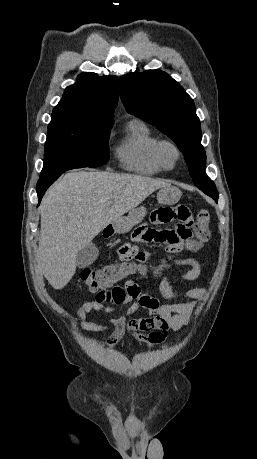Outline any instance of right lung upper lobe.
I'll list each match as a JSON object with an SVG mask.
<instances>
[{
	"mask_svg": "<svg viewBox=\"0 0 257 459\" xmlns=\"http://www.w3.org/2000/svg\"><path fill=\"white\" fill-rule=\"evenodd\" d=\"M117 101L116 76L99 77L93 72H86L78 76L74 85L65 89L52 117L112 126Z\"/></svg>",
	"mask_w": 257,
	"mask_h": 459,
	"instance_id": "obj_1",
	"label": "right lung upper lobe"
}]
</instances>
